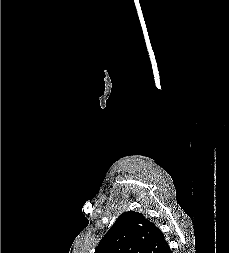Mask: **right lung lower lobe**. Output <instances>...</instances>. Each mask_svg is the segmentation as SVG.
I'll return each mask as SVG.
<instances>
[{"label":"right lung lower lobe","instance_id":"obj_1","mask_svg":"<svg viewBox=\"0 0 229 253\" xmlns=\"http://www.w3.org/2000/svg\"><path fill=\"white\" fill-rule=\"evenodd\" d=\"M165 253H172L170 247L165 251Z\"/></svg>","mask_w":229,"mask_h":253}]
</instances>
